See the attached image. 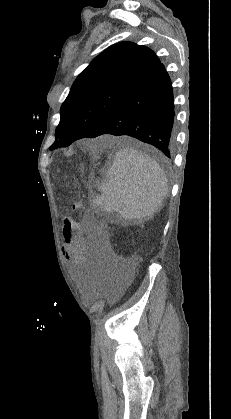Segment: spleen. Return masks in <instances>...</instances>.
<instances>
[{"label": "spleen", "mask_w": 231, "mask_h": 419, "mask_svg": "<svg viewBox=\"0 0 231 419\" xmlns=\"http://www.w3.org/2000/svg\"><path fill=\"white\" fill-rule=\"evenodd\" d=\"M94 200L106 212H117L125 219L153 216L168 193L167 178L150 156L132 148H121L115 155Z\"/></svg>", "instance_id": "1"}]
</instances>
